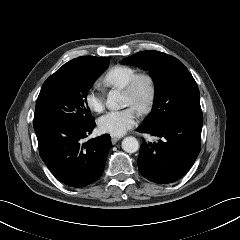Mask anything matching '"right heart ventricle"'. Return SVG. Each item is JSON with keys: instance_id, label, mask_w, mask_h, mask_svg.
<instances>
[{"instance_id": "1", "label": "right heart ventricle", "mask_w": 240, "mask_h": 240, "mask_svg": "<svg viewBox=\"0 0 240 240\" xmlns=\"http://www.w3.org/2000/svg\"><path fill=\"white\" fill-rule=\"evenodd\" d=\"M136 71L129 65L116 64L111 66L101 77L100 81L105 88L122 89L129 77Z\"/></svg>"}]
</instances>
